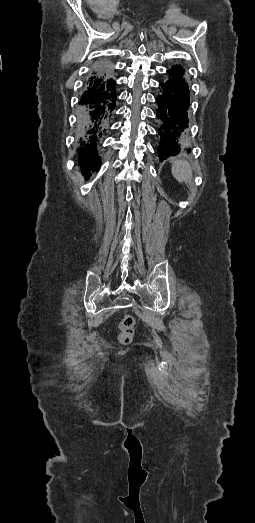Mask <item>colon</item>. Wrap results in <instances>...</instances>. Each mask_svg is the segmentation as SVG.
<instances>
[{"label":"colon","mask_w":255,"mask_h":523,"mask_svg":"<svg viewBox=\"0 0 255 523\" xmlns=\"http://www.w3.org/2000/svg\"><path fill=\"white\" fill-rule=\"evenodd\" d=\"M135 318L130 314L123 315L119 320L118 340L122 344H130L135 333Z\"/></svg>","instance_id":"1"}]
</instances>
